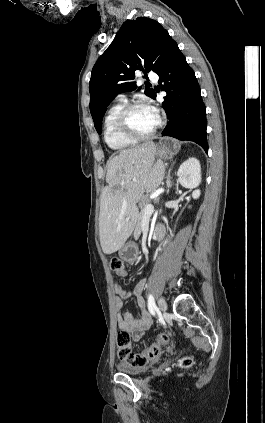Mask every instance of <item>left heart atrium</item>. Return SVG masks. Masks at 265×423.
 Wrapping results in <instances>:
<instances>
[{
    "label": "left heart atrium",
    "instance_id": "obj_1",
    "mask_svg": "<svg viewBox=\"0 0 265 423\" xmlns=\"http://www.w3.org/2000/svg\"><path fill=\"white\" fill-rule=\"evenodd\" d=\"M150 110L153 112V114L158 118L157 111L154 108H150Z\"/></svg>",
    "mask_w": 265,
    "mask_h": 423
}]
</instances>
